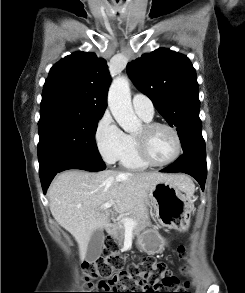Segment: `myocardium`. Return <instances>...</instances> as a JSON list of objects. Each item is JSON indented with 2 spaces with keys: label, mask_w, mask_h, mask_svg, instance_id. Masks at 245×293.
I'll return each mask as SVG.
<instances>
[{
  "label": "myocardium",
  "mask_w": 245,
  "mask_h": 293,
  "mask_svg": "<svg viewBox=\"0 0 245 293\" xmlns=\"http://www.w3.org/2000/svg\"><path fill=\"white\" fill-rule=\"evenodd\" d=\"M160 127L169 130L173 134L174 140H175V152L170 159H168L164 162L153 161L147 153L146 142L142 138H139L137 136H135V138H134L135 143H136V150H137V154H138L139 158L145 164L152 166V167H164V166L172 164L173 162H175L179 158V156L181 154V150H182L181 137H180L178 131L173 126L166 124V123H162V122H147L143 126V128L146 132H150V131H152L156 128H160Z\"/></svg>",
  "instance_id": "1"
}]
</instances>
